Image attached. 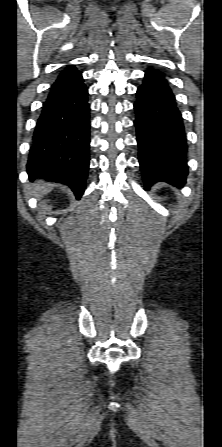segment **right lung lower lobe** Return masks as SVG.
I'll use <instances>...</instances> for the list:
<instances>
[{"label": "right lung lower lobe", "instance_id": "obj_1", "mask_svg": "<svg viewBox=\"0 0 222 447\" xmlns=\"http://www.w3.org/2000/svg\"><path fill=\"white\" fill-rule=\"evenodd\" d=\"M90 105L82 73L72 66L52 85L37 120L27 172L68 185L80 199L89 169Z\"/></svg>", "mask_w": 222, "mask_h": 447}]
</instances>
